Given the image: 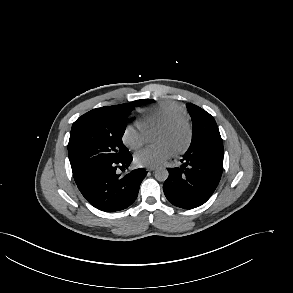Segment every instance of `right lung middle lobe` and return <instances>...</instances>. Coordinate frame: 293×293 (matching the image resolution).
<instances>
[{"label": "right lung middle lobe", "mask_w": 293, "mask_h": 293, "mask_svg": "<svg viewBox=\"0 0 293 293\" xmlns=\"http://www.w3.org/2000/svg\"><path fill=\"white\" fill-rule=\"evenodd\" d=\"M142 101L97 108L73 123L68 153L74 178H81L101 164L121 160L130 154L122 136L128 115Z\"/></svg>", "instance_id": "right-lung-middle-lobe-1"}]
</instances>
